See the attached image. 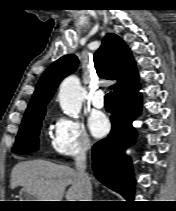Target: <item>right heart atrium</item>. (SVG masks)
Here are the masks:
<instances>
[{"instance_id":"d8ad5b80","label":"right heart atrium","mask_w":176,"mask_h":211,"mask_svg":"<svg viewBox=\"0 0 176 211\" xmlns=\"http://www.w3.org/2000/svg\"><path fill=\"white\" fill-rule=\"evenodd\" d=\"M92 146L83 124L74 118L58 115L53 124L51 147L62 157H77L85 154Z\"/></svg>"}]
</instances>
